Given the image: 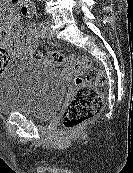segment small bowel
<instances>
[{
  "mask_svg": "<svg viewBox=\"0 0 133 173\" xmlns=\"http://www.w3.org/2000/svg\"><path fill=\"white\" fill-rule=\"evenodd\" d=\"M12 2H17L12 0ZM23 15L29 13L24 12L23 8H20ZM0 31L5 34L6 38L0 41V50H3L8 56L14 57H30L34 56L37 47V35L34 24L28 25L21 32V25L16 15L7 16Z\"/></svg>",
  "mask_w": 133,
  "mask_h": 173,
  "instance_id": "small-bowel-1",
  "label": "small bowel"
}]
</instances>
